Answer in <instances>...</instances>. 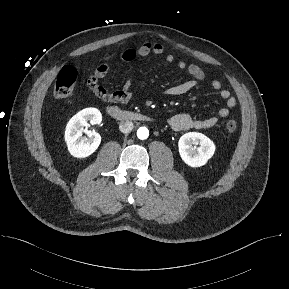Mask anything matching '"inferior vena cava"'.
Here are the masks:
<instances>
[{
  "label": "inferior vena cava",
  "mask_w": 289,
  "mask_h": 289,
  "mask_svg": "<svg viewBox=\"0 0 289 289\" xmlns=\"http://www.w3.org/2000/svg\"><path fill=\"white\" fill-rule=\"evenodd\" d=\"M133 128L134 125L131 121H122L119 125V130L125 134L130 133Z\"/></svg>",
  "instance_id": "1"
}]
</instances>
